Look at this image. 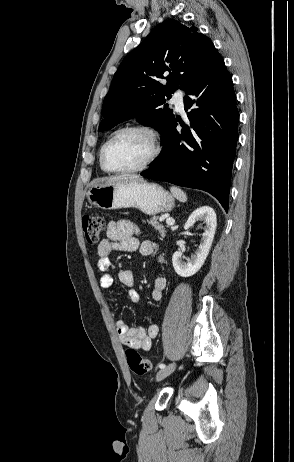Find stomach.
<instances>
[{
  "instance_id": "stomach-1",
  "label": "stomach",
  "mask_w": 294,
  "mask_h": 462,
  "mask_svg": "<svg viewBox=\"0 0 294 462\" xmlns=\"http://www.w3.org/2000/svg\"><path fill=\"white\" fill-rule=\"evenodd\" d=\"M91 204L102 209L134 207L147 215L169 212L174 198L161 186L143 180L122 179L91 187L87 193Z\"/></svg>"
}]
</instances>
